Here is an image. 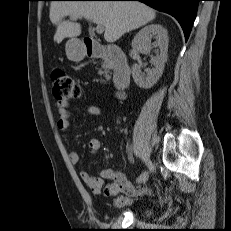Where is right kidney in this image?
Returning a JSON list of instances; mask_svg holds the SVG:
<instances>
[{
    "label": "right kidney",
    "mask_w": 231,
    "mask_h": 231,
    "mask_svg": "<svg viewBox=\"0 0 231 231\" xmlns=\"http://www.w3.org/2000/svg\"><path fill=\"white\" fill-rule=\"evenodd\" d=\"M151 38H155L153 43H151ZM152 47L158 48L156 56H151L150 62L154 65L152 69H145V74L141 71L142 65L140 63L132 66L134 82L137 86L144 89H149L157 83L163 73L167 60L168 33L167 30L159 24L145 26L136 34L132 41L133 53L136 59L142 49L150 51Z\"/></svg>",
    "instance_id": "obj_1"
}]
</instances>
